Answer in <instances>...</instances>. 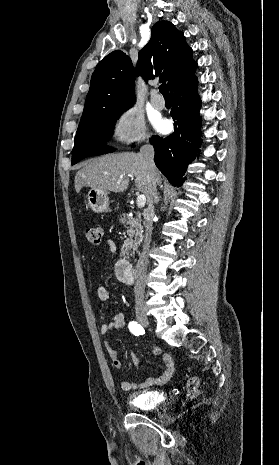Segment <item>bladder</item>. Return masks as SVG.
<instances>
[{
  "instance_id": "bladder-1",
  "label": "bladder",
  "mask_w": 279,
  "mask_h": 465,
  "mask_svg": "<svg viewBox=\"0 0 279 465\" xmlns=\"http://www.w3.org/2000/svg\"><path fill=\"white\" fill-rule=\"evenodd\" d=\"M163 403L160 391H144L130 396V405L135 410H152Z\"/></svg>"
}]
</instances>
